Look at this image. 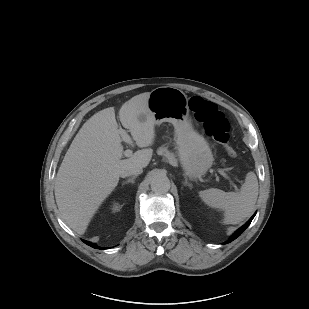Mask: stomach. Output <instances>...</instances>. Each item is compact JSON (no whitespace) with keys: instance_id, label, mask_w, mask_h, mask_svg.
I'll list each match as a JSON object with an SVG mask.
<instances>
[{"instance_id":"0dacf381","label":"stomach","mask_w":309,"mask_h":309,"mask_svg":"<svg viewBox=\"0 0 309 309\" xmlns=\"http://www.w3.org/2000/svg\"><path fill=\"white\" fill-rule=\"evenodd\" d=\"M147 104L155 124H173L177 155L185 174L191 178L204 175L212 165L213 155L204 137L191 124L185 93L174 87H158L150 92Z\"/></svg>"}]
</instances>
